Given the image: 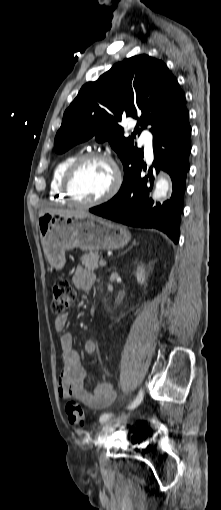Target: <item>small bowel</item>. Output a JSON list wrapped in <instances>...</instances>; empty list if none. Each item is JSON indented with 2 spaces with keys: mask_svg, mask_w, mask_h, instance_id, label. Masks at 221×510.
<instances>
[{
  "mask_svg": "<svg viewBox=\"0 0 221 510\" xmlns=\"http://www.w3.org/2000/svg\"><path fill=\"white\" fill-rule=\"evenodd\" d=\"M72 281L78 289L89 290L95 282V275L91 270L77 266L72 275ZM68 315L62 314L55 318L54 327L63 331L68 325ZM62 368L58 378V394L63 399L73 398L90 409H101L111 405L115 399V392L110 382L97 384L92 390L85 386L86 380L93 373L81 362L79 355L73 348V337L69 333L61 336ZM96 343L86 341L84 350L92 355L96 352Z\"/></svg>",
  "mask_w": 221,
  "mask_h": 510,
  "instance_id": "1",
  "label": "small bowel"
}]
</instances>
